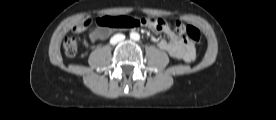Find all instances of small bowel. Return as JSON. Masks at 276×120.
<instances>
[{
  "mask_svg": "<svg viewBox=\"0 0 276 120\" xmlns=\"http://www.w3.org/2000/svg\"><path fill=\"white\" fill-rule=\"evenodd\" d=\"M154 29L153 27H151ZM78 31V29H76ZM157 32L164 33L169 37V40H158L157 46L167 52L171 57L179 60H183L185 62H192L196 56L195 46L191 41L182 40L177 35H175L169 26L165 23V25L160 30H156ZM106 36V32L101 30H93L90 33V40L95 42L100 39H103Z\"/></svg>",
  "mask_w": 276,
  "mask_h": 120,
  "instance_id": "obj_1",
  "label": "small bowel"
}]
</instances>
